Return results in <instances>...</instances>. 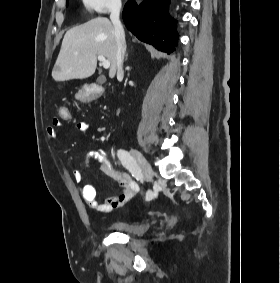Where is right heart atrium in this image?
Listing matches in <instances>:
<instances>
[{
    "label": "right heart atrium",
    "instance_id": "right-heart-atrium-1",
    "mask_svg": "<svg viewBox=\"0 0 280 283\" xmlns=\"http://www.w3.org/2000/svg\"><path fill=\"white\" fill-rule=\"evenodd\" d=\"M84 9L89 13H116L122 7V0H82Z\"/></svg>",
    "mask_w": 280,
    "mask_h": 283
}]
</instances>
